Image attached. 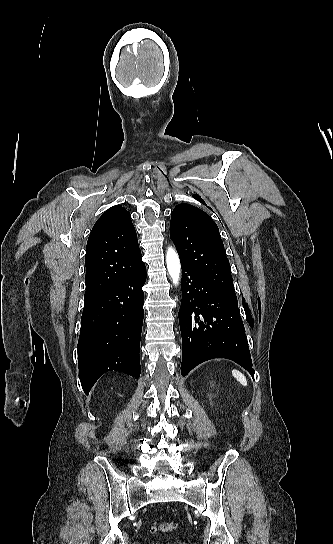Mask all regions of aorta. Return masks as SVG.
<instances>
[{
  "label": "aorta",
  "mask_w": 333,
  "mask_h": 544,
  "mask_svg": "<svg viewBox=\"0 0 333 544\" xmlns=\"http://www.w3.org/2000/svg\"><path fill=\"white\" fill-rule=\"evenodd\" d=\"M166 264H167V270L168 273L175 285L178 284V281L180 279V261L177 253L174 249L169 248L166 253Z\"/></svg>",
  "instance_id": "762f6f07"
}]
</instances>
